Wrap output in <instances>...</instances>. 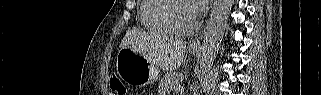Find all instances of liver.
I'll use <instances>...</instances> for the list:
<instances>
[{"instance_id":"obj_1","label":"liver","mask_w":321,"mask_h":95,"mask_svg":"<svg viewBox=\"0 0 321 95\" xmlns=\"http://www.w3.org/2000/svg\"><path fill=\"white\" fill-rule=\"evenodd\" d=\"M151 37L138 30H129L121 41V48L142 53L145 58L166 71H174L183 62L187 43L172 38H159L150 43Z\"/></svg>"}]
</instances>
